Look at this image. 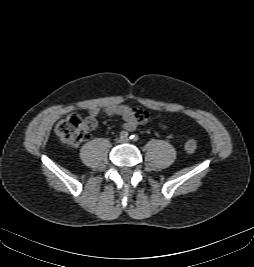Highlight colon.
Returning a JSON list of instances; mask_svg holds the SVG:
<instances>
[{
    "instance_id": "1",
    "label": "colon",
    "mask_w": 254,
    "mask_h": 267,
    "mask_svg": "<svg viewBox=\"0 0 254 267\" xmlns=\"http://www.w3.org/2000/svg\"><path fill=\"white\" fill-rule=\"evenodd\" d=\"M97 125L96 119L92 117H82L72 114L59 121L55 131L58 137L66 144L78 145L88 139L89 133ZM184 149L188 153H193L197 149V142L189 139L184 144Z\"/></svg>"
}]
</instances>
